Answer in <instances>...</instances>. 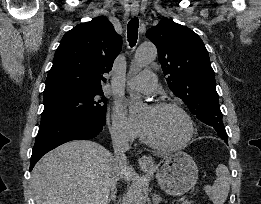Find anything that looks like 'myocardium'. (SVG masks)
Segmentation results:
<instances>
[{
    "label": "myocardium",
    "instance_id": "f54148a6",
    "mask_svg": "<svg viewBox=\"0 0 261 204\" xmlns=\"http://www.w3.org/2000/svg\"><path fill=\"white\" fill-rule=\"evenodd\" d=\"M151 107L156 110H162V109H168V108L177 110L184 117V119L187 122L188 133H187L186 137L179 143L164 144V143L159 142L148 131V129L143 124H141L142 132H143L146 142L150 146H152L156 149H159V150H164V151H175V150L184 148L192 140L194 133H195L194 122H193L191 116L189 115V113L185 110V108L183 106H181L180 104H178L176 102H172V101H159V102L152 104Z\"/></svg>",
    "mask_w": 261,
    "mask_h": 204
}]
</instances>
